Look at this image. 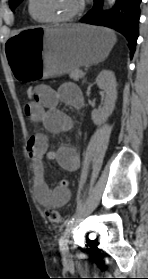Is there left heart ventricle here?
<instances>
[{
    "label": "left heart ventricle",
    "mask_w": 148,
    "mask_h": 279,
    "mask_svg": "<svg viewBox=\"0 0 148 279\" xmlns=\"http://www.w3.org/2000/svg\"><path fill=\"white\" fill-rule=\"evenodd\" d=\"M78 0H34L33 10L42 18L62 17L72 12Z\"/></svg>",
    "instance_id": "1"
}]
</instances>
